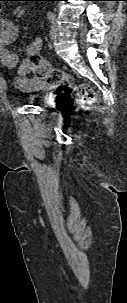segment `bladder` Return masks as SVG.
Listing matches in <instances>:
<instances>
[{
  "mask_svg": "<svg viewBox=\"0 0 127 303\" xmlns=\"http://www.w3.org/2000/svg\"><path fill=\"white\" fill-rule=\"evenodd\" d=\"M37 98H38V95L36 94H29L25 97V100H28L30 102H37Z\"/></svg>",
  "mask_w": 127,
  "mask_h": 303,
  "instance_id": "31cf9c89",
  "label": "bladder"
}]
</instances>
